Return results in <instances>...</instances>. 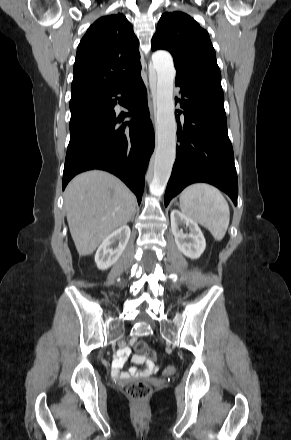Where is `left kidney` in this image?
I'll use <instances>...</instances> for the list:
<instances>
[{
  "label": "left kidney",
  "instance_id": "1",
  "mask_svg": "<svg viewBox=\"0 0 291 440\" xmlns=\"http://www.w3.org/2000/svg\"><path fill=\"white\" fill-rule=\"evenodd\" d=\"M170 217L171 230L178 249L185 256L198 259L206 247L204 235L198 224L177 209L172 210ZM181 225L188 227V234L183 233V230L179 228Z\"/></svg>",
  "mask_w": 291,
  "mask_h": 440
}]
</instances>
